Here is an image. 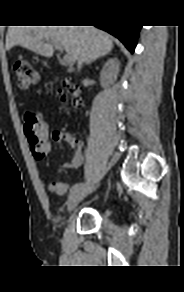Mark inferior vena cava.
Returning a JSON list of instances; mask_svg holds the SVG:
<instances>
[{
  "mask_svg": "<svg viewBox=\"0 0 184 292\" xmlns=\"http://www.w3.org/2000/svg\"><path fill=\"white\" fill-rule=\"evenodd\" d=\"M82 62L78 61V70L81 69Z\"/></svg>",
  "mask_w": 184,
  "mask_h": 292,
  "instance_id": "inferior-vena-cava-1",
  "label": "inferior vena cava"
}]
</instances>
